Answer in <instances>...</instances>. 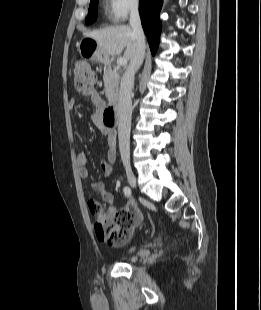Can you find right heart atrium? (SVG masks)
I'll return each instance as SVG.
<instances>
[{
	"instance_id": "1",
	"label": "right heart atrium",
	"mask_w": 261,
	"mask_h": 310,
	"mask_svg": "<svg viewBox=\"0 0 261 310\" xmlns=\"http://www.w3.org/2000/svg\"><path fill=\"white\" fill-rule=\"evenodd\" d=\"M140 0H108V15L112 22H125L139 10Z\"/></svg>"
}]
</instances>
